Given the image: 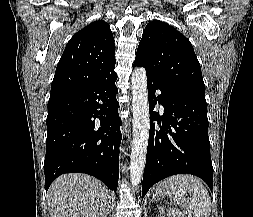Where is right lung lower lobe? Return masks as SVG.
Listing matches in <instances>:
<instances>
[{
    "instance_id": "1",
    "label": "right lung lower lobe",
    "mask_w": 253,
    "mask_h": 217,
    "mask_svg": "<svg viewBox=\"0 0 253 217\" xmlns=\"http://www.w3.org/2000/svg\"><path fill=\"white\" fill-rule=\"evenodd\" d=\"M116 79L117 74L112 72L80 91L49 99L46 190L59 175L80 172L116 191L122 139Z\"/></svg>"
}]
</instances>
